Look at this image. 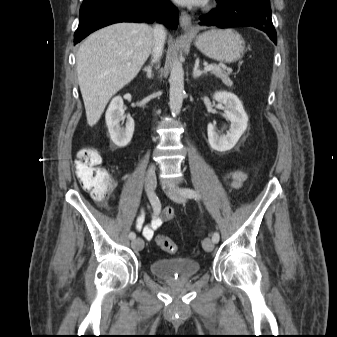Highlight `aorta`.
Here are the masks:
<instances>
[{
  "mask_svg": "<svg viewBox=\"0 0 337 337\" xmlns=\"http://www.w3.org/2000/svg\"><path fill=\"white\" fill-rule=\"evenodd\" d=\"M170 91H169V106L173 115H178L181 111L184 99V70L182 63L176 59L174 60L171 73L169 77Z\"/></svg>",
  "mask_w": 337,
  "mask_h": 337,
  "instance_id": "obj_1",
  "label": "aorta"
}]
</instances>
